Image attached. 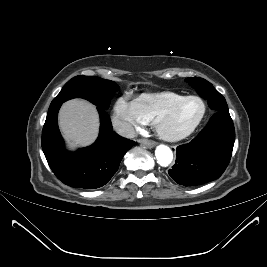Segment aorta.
<instances>
[{"instance_id": "obj_1", "label": "aorta", "mask_w": 267, "mask_h": 267, "mask_svg": "<svg viewBox=\"0 0 267 267\" xmlns=\"http://www.w3.org/2000/svg\"><path fill=\"white\" fill-rule=\"evenodd\" d=\"M156 159L159 165L166 167L173 160V153L168 146L158 145L155 150Z\"/></svg>"}]
</instances>
